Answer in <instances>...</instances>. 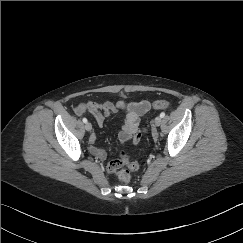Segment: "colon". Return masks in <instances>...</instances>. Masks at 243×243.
Returning <instances> with one entry per match:
<instances>
[{
	"label": "colon",
	"instance_id": "colon-1",
	"mask_svg": "<svg viewBox=\"0 0 243 243\" xmlns=\"http://www.w3.org/2000/svg\"><path fill=\"white\" fill-rule=\"evenodd\" d=\"M152 105L156 109H167V108H169L170 103L168 100L159 99V100L154 101L152 103ZM117 161L119 164L126 167L125 169L119 170L117 172L119 179L124 182H129L131 179L129 170H132V171L138 170V168H139L138 162L130 160L127 155H125L124 153H121V152L117 156Z\"/></svg>",
	"mask_w": 243,
	"mask_h": 243
}]
</instances>
